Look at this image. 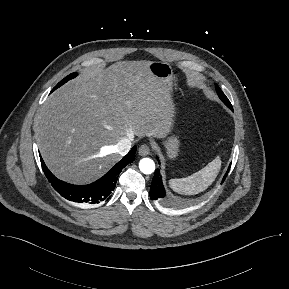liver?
<instances>
[{"label":"liver","instance_id":"liver-1","mask_svg":"<svg viewBox=\"0 0 289 289\" xmlns=\"http://www.w3.org/2000/svg\"><path fill=\"white\" fill-rule=\"evenodd\" d=\"M149 64L119 61L88 69L48 97L35 131L41 156L57 178L91 183L121 159V138L163 136L173 102Z\"/></svg>","mask_w":289,"mask_h":289}]
</instances>
